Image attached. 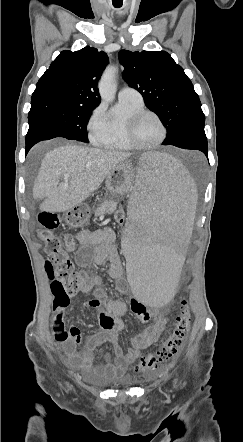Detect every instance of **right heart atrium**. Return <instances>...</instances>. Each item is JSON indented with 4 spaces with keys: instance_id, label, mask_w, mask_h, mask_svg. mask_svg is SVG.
<instances>
[{
    "instance_id": "obj_1",
    "label": "right heart atrium",
    "mask_w": 243,
    "mask_h": 442,
    "mask_svg": "<svg viewBox=\"0 0 243 442\" xmlns=\"http://www.w3.org/2000/svg\"><path fill=\"white\" fill-rule=\"evenodd\" d=\"M105 113L102 106L95 107L87 120L88 136L91 140L104 128Z\"/></svg>"
}]
</instances>
